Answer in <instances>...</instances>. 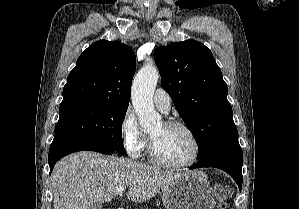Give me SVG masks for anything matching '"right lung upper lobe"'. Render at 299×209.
<instances>
[{
	"mask_svg": "<svg viewBox=\"0 0 299 209\" xmlns=\"http://www.w3.org/2000/svg\"><path fill=\"white\" fill-rule=\"evenodd\" d=\"M135 69L136 57L128 46L117 41H97L80 55L68 75L60 105L128 106Z\"/></svg>",
	"mask_w": 299,
	"mask_h": 209,
	"instance_id": "1",
	"label": "right lung upper lobe"
}]
</instances>
